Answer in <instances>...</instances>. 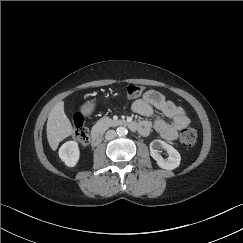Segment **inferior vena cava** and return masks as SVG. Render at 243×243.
Masks as SVG:
<instances>
[{"mask_svg":"<svg viewBox=\"0 0 243 243\" xmlns=\"http://www.w3.org/2000/svg\"><path fill=\"white\" fill-rule=\"evenodd\" d=\"M116 137V132L114 130H108L105 134L106 140H112Z\"/></svg>","mask_w":243,"mask_h":243,"instance_id":"1","label":"inferior vena cava"}]
</instances>
